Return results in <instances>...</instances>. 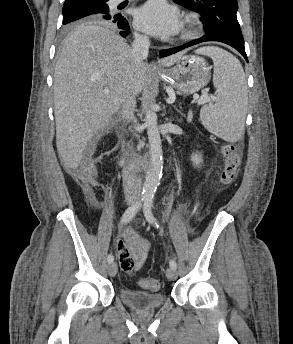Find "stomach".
<instances>
[{"mask_svg": "<svg viewBox=\"0 0 293 344\" xmlns=\"http://www.w3.org/2000/svg\"><path fill=\"white\" fill-rule=\"evenodd\" d=\"M158 75L181 93L189 95L207 85L210 69L202 57L182 55L174 67L162 70Z\"/></svg>", "mask_w": 293, "mask_h": 344, "instance_id": "0dacf381", "label": "stomach"}]
</instances>
